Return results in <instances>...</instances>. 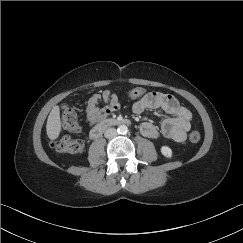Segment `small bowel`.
<instances>
[{
	"mask_svg": "<svg viewBox=\"0 0 243 243\" xmlns=\"http://www.w3.org/2000/svg\"><path fill=\"white\" fill-rule=\"evenodd\" d=\"M120 99L109 90L93 94L85 103L84 116L88 125H94L120 109ZM146 109L153 110L155 115L161 117L168 114L158 127L152 122L145 121L140 125L141 133L149 138L166 137L176 142L186 139L191 128L192 114L181 106L178 100L169 94L149 92L135 101L132 111L140 114Z\"/></svg>",
	"mask_w": 243,
	"mask_h": 243,
	"instance_id": "obj_1",
	"label": "small bowel"
}]
</instances>
